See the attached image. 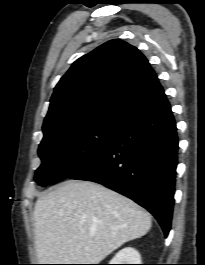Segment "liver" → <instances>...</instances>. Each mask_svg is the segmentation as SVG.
<instances>
[{
  "mask_svg": "<svg viewBox=\"0 0 205 265\" xmlns=\"http://www.w3.org/2000/svg\"><path fill=\"white\" fill-rule=\"evenodd\" d=\"M40 264H99L151 228V216L100 184L68 180L41 196L33 212Z\"/></svg>",
  "mask_w": 205,
  "mask_h": 265,
  "instance_id": "6515ba94",
  "label": "liver"
}]
</instances>
